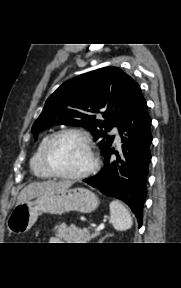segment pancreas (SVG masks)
<instances>
[{
	"instance_id": "cf45deb5",
	"label": "pancreas",
	"mask_w": 181,
	"mask_h": 288,
	"mask_svg": "<svg viewBox=\"0 0 181 288\" xmlns=\"http://www.w3.org/2000/svg\"><path fill=\"white\" fill-rule=\"evenodd\" d=\"M54 230L55 236L67 243H87L99 235V232L90 234L85 228L66 227L65 223L55 226Z\"/></svg>"
}]
</instances>
